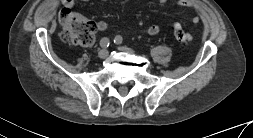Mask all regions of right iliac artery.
Returning <instances> with one entry per match:
<instances>
[{
	"mask_svg": "<svg viewBox=\"0 0 253 138\" xmlns=\"http://www.w3.org/2000/svg\"><path fill=\"white\" fill-rule=\"evenodd\" d=\"M109 45H110V40L107 37H104L101 39L100 46L102 48H107V47H109Z\"/></svg>",
	"mask_w": 253,
	"mask_h": 138,
	"instance_id": "obj_1",
	"label": "right iliac artery"
}]
</instances>
